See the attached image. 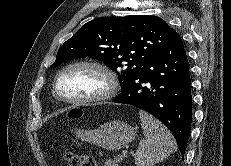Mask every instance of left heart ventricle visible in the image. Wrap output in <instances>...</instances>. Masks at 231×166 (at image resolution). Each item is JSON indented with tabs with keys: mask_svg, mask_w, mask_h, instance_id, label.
Returning <instances> with one entry per match:
<instances>
[{
	"mask_svg": "<svg viewBox=\"0 0 231 166\" xmlns=\"http://www.w3.org/2000/svg\"><path fill=\"white\" fill-rule=\"evenodd\" d=\"M60 93L67 98L88 97L101 92L106 81L95 69L77 67L65 72L59 79Z\"/></svg>",
	"mask_w": 231,
	"mask_h": 166,
	"instance_id": "left-heart-ventricle-1",
	"label": "left heart ventricle"
}]
</instances>
